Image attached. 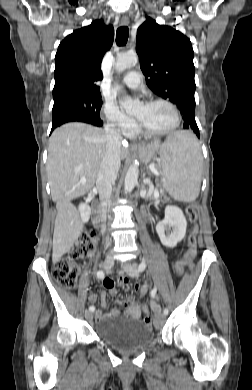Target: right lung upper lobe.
<instances>
[{"mask_svg":"<svg viewBox=\"0 0 252 390\" xmlns=\"http://www.w3.org/2000/svg\"><path fill=\"white\" fill-rule=\"evenodd\" d=\"M114 29L102 20L75 30L59 45L55 56L54 101L77 95H100V63L112 46Z\"/></svg>","mask_w":252,"mask_h":390,"instance_id":"1","label":"right lung upper lobe"}]
</instances>
